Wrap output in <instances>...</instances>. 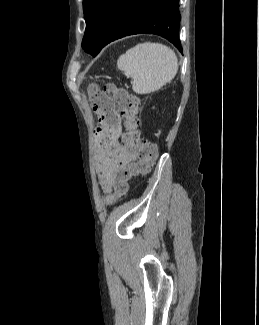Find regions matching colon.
Returning a JSON list of instances; mask_svg holds the SVG:
<instances>
[{
  "instance_id": "obj_1",
  "label": "colon",
  "mask_w": 259,
  "mask_h": 325,
  "mask_svg": "<svg viewBox=\"0 0 259 325\" xmlns=\"http://www.w3.org/2000/svg\"><path fill=\"white\" fill-rule=\"evenodd\" d=\"M88 97L93 109L98 114L101 126L93 128L92 134L98 135L99 130L111 131L118 129L119 123L114 112L124 119L126 128L124 141L138 157V162L116 173L112 190L105 196V203L112 205L123 198L128 191V181L134 175L148 173L157 159V149L149 142L140 139L139 131V100L126 88L108 83L104 87L92 85L88 90Z\"/></svg>"
}]
</instances>
